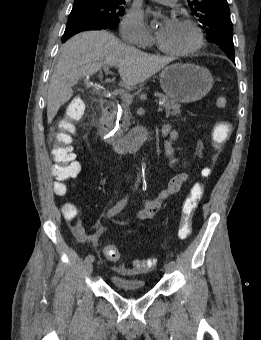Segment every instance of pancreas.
<instances>
[{
    "label": "pancreas",
    "mask_w": 261,
    "mask_h": 340,
    "mask_svg": "<svg viewBox=\"0 0 261 340\" xmlns=\"http://www.w3.org/2000/svg\"><path fill=\"white\" fill-rule=\"evenodd\" d=\"M155 96H158L160 100L163 101V107L165 108L167 118L180 114L181 105L179 103H177L174 100L166 98L161 93H156ZM122 115H123V122L120 125V128H121V130L119 131L120 134H122L124 131H127L128 127L130 126L131 117L129 116L128 107L126 105L124 106V111Z\"/></svg>",
    "instance_id": "pancreas-1"
}]
</instances>
